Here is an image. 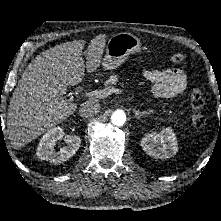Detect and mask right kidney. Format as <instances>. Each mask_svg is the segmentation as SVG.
<instances>
[{"label": "right kidney", "mask_w": 221, "mask_h": 221, "mask_svg": "<svg viewBox=\"0 0 221 221\" xmlns=\"http://www.w3.org/2000/svg\"><path fill=\"white\" fill-rule=\"evenodd\" d=\"M64 139L66 145L59 151L55 150L56 142ZM81 138L76 135H65L61 127L48 130L41 138L36 155L41 160L53 164L62 163L71 158L79 149Z\"/></svg>", "instance_id": "obj_1"}]
</instances>
